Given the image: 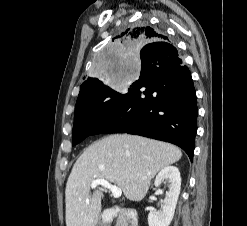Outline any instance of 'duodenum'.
Returning a JSON list of instances; mask_svg holds the SVG:
<instances>
[{"label":"duodenum","mask_w":247,"mask_h":226,"mask_svg":"<svg viewBox=\"0 0 247 226\" xmlns=\"http://www.w3.org/2000/svg\"><path fill=\"white\" fill-rule=\"evenodd\" d=\"M116 219L119 220L121 226H138L137 212L134 209L122 207L105 210L101 226H107Z\"/></svg>","instance_id":"duodenum-1"}]
</instances>
